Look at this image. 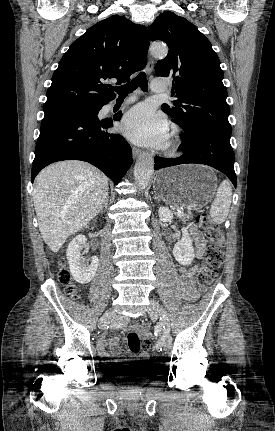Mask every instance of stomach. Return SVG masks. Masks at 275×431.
<instances>
[{
	"instance_id": "obj_1",
	"label": "stomach",
	"mask_w": 275,
	"mask_h": 431,
	"mask_svg": "<svg viewBox=\"0 0 275 431\" xmlns=\"http://www.w3.org/2000/svg\"><path fill=\"white\" fill-rule=\"evenodd\" d=\"M217 177L204 165H182L157 172L154 189L166 203L190 210L204 207L214 196Z\"/></svg>"
}]
</instances>
